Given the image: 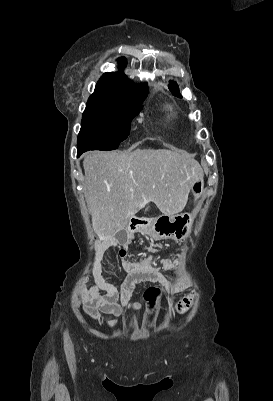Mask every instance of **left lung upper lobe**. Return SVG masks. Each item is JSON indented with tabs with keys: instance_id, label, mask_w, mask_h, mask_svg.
Masks as SVG:
<instances>
[{
	"instance_id": "1",
	"label": "left lung upper lobe",
	"mask_w": 273,
	"mask_h": 401,
	"mask_svg": "<svg viewBox=\"0 0 273 401\" xmlns=\"http://www.w3.org/2000/svg\"><path fill=\"white\" fill-rule=\"evenodd\" d=\"M169 89L172 91L173 95L181 97L179 90H178V85L176 84V82L171 81L169 83Z\"/></svg>"
}]
</instances>
